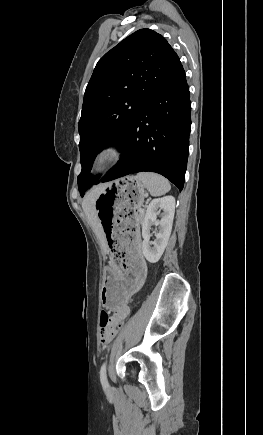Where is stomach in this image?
Returning a JSON list of instances; mask_svg holds the SVG:
<instances>
[{
	"label": "stomach",
	"instance_id": "1",
	"mask_svg": "<svg viewBox=\"0 0 263 435\" xmlns=\"http://www.w3.org/2000/svg\"><path fill=\"white\" fill-rule=\"evenodd\" d=\"M144 200V187L135 176L116 179L106 185L95 201L100 220L99 233H105L108 254L102 305L105 310H120L136 299L146 276L145 260H138L141 224L138 209Z\"/></svg>",
	"mask_w": 263,
	"mask_h": 435
}]
</instances>
